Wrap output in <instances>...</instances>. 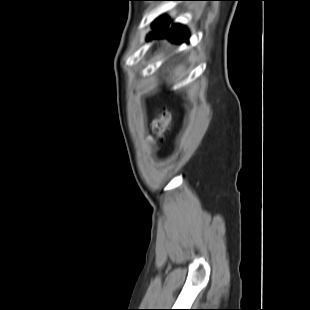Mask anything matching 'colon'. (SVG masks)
I'll list each match as a JSON object with an SVG mask.
<instances>
[{
	"label": "colon",
	"mask_w": 310,
	"mask_h": 310,
	"mask_svg": "<svg viewBox=\"0 0 310 310\" xmlns=\"http://www.w3.org/2000/svg\"><path fill=\"white\" fill-rule=\"evenodd\" d=\"M171 113L167 110H164L160 116L154 119L151 123V137L152 141H157L168 131L171 123Z\"/></svg>",
	"instance_id": "colon-1"
}]
</instances>
